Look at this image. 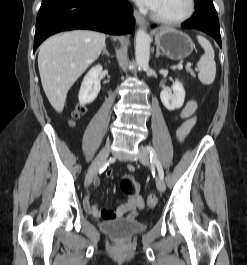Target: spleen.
<instances>
[{
	"label": "spleen",
	"instance_id": "spleen-1",
	"mask_svg": "<svg viewBox=\"0 0 247 265\" xmlns=\"http://www.w3.org/2000/svg\"><path fill=\"white\" fill-rule=\"evenodd\" d=\"M197 40L205 51V54L197 63L198 78L204 85H210L215 80L216 63L214 60L215 54L211 43L203 36L198 35Z\"/></svg>",
	"mask_w": 247,
	"mask_h": 265
}]
</instances>
